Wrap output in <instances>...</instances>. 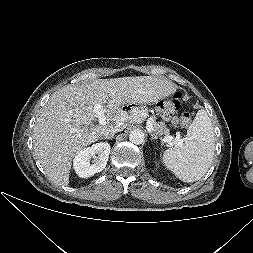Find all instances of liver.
Wrapping results in <instances>:
<instances>
[{
  "label": "liver",
  "mask_w": 253,
  "mask_h": 253,
  "mask_svg": "<svg viewBox=\"0 0 253 253\" xmlns=\"http://www.w3.org/2000/svg\"><path fill=\"white\" fill-rule=\"evenodd\" d=\"M176 85L161 77L137 76L99 79L81 85H67L54 92L41 109L33 130V149L49 179L69 184L73 157L97 141L105 132L126 128V121L141 123L144 109L122 110L126 104L158 102L176 92ZM104 106L112 123L94 125V105Z\"/></svg>",
  "instance_id": "1"
}]
</instances>
